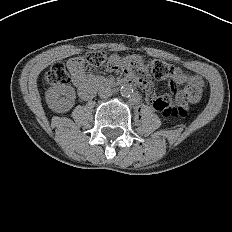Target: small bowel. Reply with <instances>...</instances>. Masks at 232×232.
<instances>
[{
  "label": "small bowel",
  "instance_id": "small-bowel-1",
  "mask_svg": "<svg viewBox=\"0 0 232 232\" xmlns=\"http://www.w3.org/2000/svg\"><path fill=\"white\" fill-rule=\"evenodd\" d=\"M68 67L72 74L73 83L79 90L86 87L92 79V75L87 73L80 62V58H73L68 61ZM147 69V62L137 54H130L129 56L117 55L108 59L104 63V70L108 74H115L121 71L125 76H133L139 88L146 91L147 99L152 104L154 109L160 112L170 105L171 99L169 96L156 97L154 92L149 87L150 81L144 72ZM187 83L188 85H195L203 88V79L198 75L189 74L179 68L175 69L174 74L170 77V87L174 89L176 100L180 104H184V92L177 90L176 86Z\"/></svg>",
  "mask_w": 232,
  "mask_h": 232
}]
</instances>
